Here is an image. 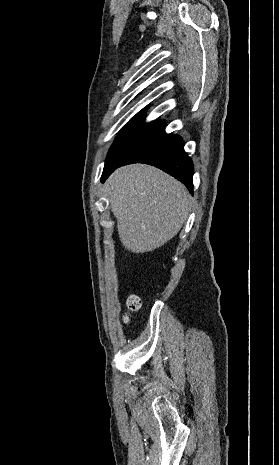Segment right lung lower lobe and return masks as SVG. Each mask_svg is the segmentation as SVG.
<instances>
[{
  "mask_svg": "<svg viewBox=\"0 0 279 465\" xmlns=\"http://www.w3.org/2000/svg\"><path fill=\"white\" fill-rule=\"evenodd\" d=\"M183 147V140L180 138L178 143L172 148L162 151L141 163L160 168L180 180L190 192H193L192 176L194 167L191 159L188 157L187 153L184 152ZM118 167L120 166H105L101 177L102 182H104L114 169Z\"/></svg>",
  "mask_w": 279,
  "mask_h": 465,
  "instance_id": "98d812e1",
  "label": "right lung lower lobe"
}]
</instances>
